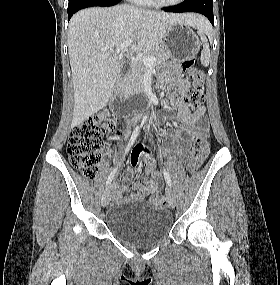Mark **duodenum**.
Returning <instances> with one entry per match:
<instances>
[{"label": "duodenum", "instance_id": "obj_1", "mask_svg": "<svg viewBox=\"0 0 280 285\" xmlns=\"http://www.w3.org/2000/svg\"><path fill=\"white\" fill-rule=\"evenodd\" d=\"M125 97V90L123 87H120L116 93L115 98L112 101V106L116 110L117 114L121 117L124 116L122 112V102Z\"/></svg>", "mask_w": 280, "mask_h": 285}]
</instances>
